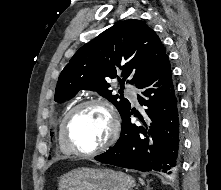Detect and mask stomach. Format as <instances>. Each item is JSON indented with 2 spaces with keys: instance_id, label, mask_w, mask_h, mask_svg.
Masks as SVG:
<instances>
[{
  "instance_id": "1",
  "label": "stomach",
  "mask_w": 221,
  "mask_h": 190,
  "mask_svg": "<svg viewBox=\"0 0 221 190\" xmlns=\"http://www.w3.org/2000/svg\"><path fill=\"white\" fill-rule=\"evenodd\" d=\"M134 186L135 180L121 171L81 167L63 175L58 190H129Z\"/></svg>"
}]
</instances>
